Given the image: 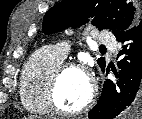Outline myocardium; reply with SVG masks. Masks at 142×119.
Here are the masks:
<instances>
[{"label": "myocardium", "mask_w": 142, "mask_h": 119, "mask_svg": "<svg viewBox=\"0 0 142 119\" xmlns=\"http://www.w3.org/2000/svg\"><path fill=\"white\" fill-rule=\"evenodd\" d=\"M71 70L80 71L87 77L90 92L87 100L80 107L73 110H67L59 105L57 101V90L63 76ZM96 96L97 87L92 74L84 65L75 62H63L52 74L46 88V99L50 110L56 114L64 116H75L85 112L93 105Z\"/></svg>", "instance_id": "f54148a6"}]
</instances>
